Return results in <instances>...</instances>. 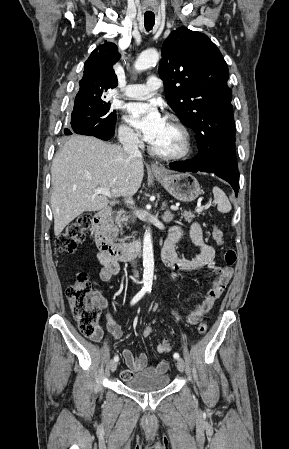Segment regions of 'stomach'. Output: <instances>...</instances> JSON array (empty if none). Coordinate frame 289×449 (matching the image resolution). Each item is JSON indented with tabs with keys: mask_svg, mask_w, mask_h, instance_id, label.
<instances>
[{
	"mask_svg": "<svg viewBox=\"0 0 289 449\" xmlns=\"http://www.w3.org/2000/svg\"><path fill=\"white\" fill-rule=\"evenodd\" d=\"M156 179L174 198L182 202H192L200 195V185L189 173H154Z\"/></svg>",
	"mask_w": 289,
	"mask_h": 449,
	"instance_id": "obj_1",
	"label": "stomach"
}]
</instances>
